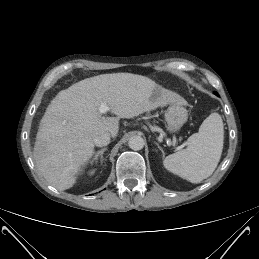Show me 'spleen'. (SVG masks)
Listing matches in <instances>:
<instances>
[{"mask_svg": "<svg viewBox=\"0 0 259 259\" xmlns=\"http://www.w3.org/2000/svg\"><path fill=\"white\" fill-rule=\"evenodd\" d=\"M224 126L218 113L210 114L201 124L198 133L187 140V147L168 155L164 167L191 182L200 183L211 176L222 154Z\"/></svg>", "mask_w": 259, "mask_h": 259, "instance_id": "1", "label": "spleen"}]
</instances>
